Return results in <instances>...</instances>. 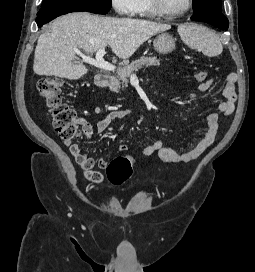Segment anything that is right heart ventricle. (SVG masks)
<instances>
[{
  "label": "right heart ventricle",
  "mask_w": 255,
  "mask_h": 272,
  "mask_svg": "<svg viewBox=\"0 0 255 272\" xmlns=\"http://www.w3.org/2000/svg\"><path fill=\"white\" fill-rule=\"evenodd\" d=\"M136 13L140 16L149 18L157 16L152 8L151 0H138Z\"/></svg>",
  "instance_id": "1"
}]
</instances>
